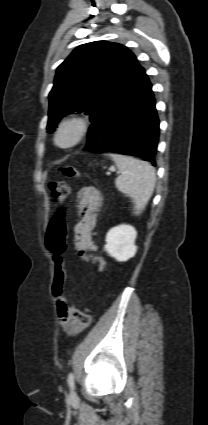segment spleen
I'll return each instance as SVG.
<instances>
[{
    "instance_id": "1",
    "label": "spleen",
    "mask_w": 208,
    "mask_h": 425,
    "mask_svg": "<svg viewBox=\"0 0 208 425\" xmlns=\"http://www.w3.org/2000/svg\"><path fill=\"white\" fill-rule=\"evenodd\" d=\"M121 175L115 180L118 191L130 197L134 203V214L138 215L145 208L153 194L156 174L155 169L145 161L119 154L110 155Z\"/></svg>"
}]
</instances>
